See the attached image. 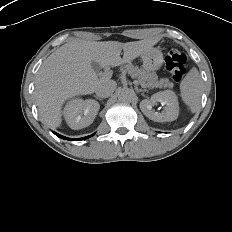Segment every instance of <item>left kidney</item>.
I'll use <instances>...</instances> for the list:
<instances>
[{"instance_id": "1", "label": "left kidney", "mask_w": 232, "mask_h": 232, "mask_svg": "<svg viewBox=\"0 0 232 232\" xmlns=\"http://www.w3.org/2000/svg\"><path fill=\"white\" fill-rule=\"evenodd\" d=\"M157 102L165 105L161 113L156 112L152 108ZM140 109L146 117L155 122H171L176 120L179 115L177 96L171 90L155 93L150 99L142 100L140 102Z\"/></svg>"}]
</instances>
